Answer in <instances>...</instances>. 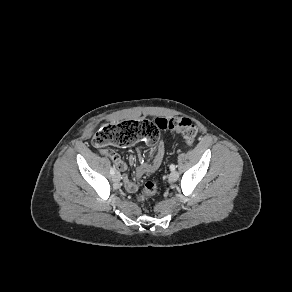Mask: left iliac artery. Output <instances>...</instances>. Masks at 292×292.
<instances>
[{
    "label": "left iliac artery",
    "instance_id": "1",
    "mask_svg": "<svg viewBox=\"0 0 292 292\" xmlns=\"http://www.w3.org/2000/svg\"><path fill=\"white\" fill-rule=\"evenodd\" d=\"M175 168H176V167H175V165H174V164H171V165H170V170H171V171H174V170H175Z\"/></svg>",
    "mask_w": 292,
    "mask_h": 292
}]
</instances>
